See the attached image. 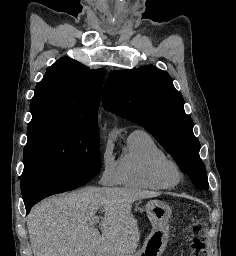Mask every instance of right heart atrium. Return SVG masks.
Listing matches in <instances>:
<instances>
[{
  "label": "right heart atrium",
  "mask_w": 236,
  "mask_h": 256,
  "mask_svg": "<svg viewBox=\"0 0 236 256\" xmlns=\"http://www.w3.org/2000/svg\"><path fill=\"white\" fill-rule=\"evenodd\" d=\"M101 184L105 186H117L121 184L120 161L113 155L110 145H105L101 153Z\"/></svg>",
  "instance_id": "d8ad5b80"
}]
</instances>
